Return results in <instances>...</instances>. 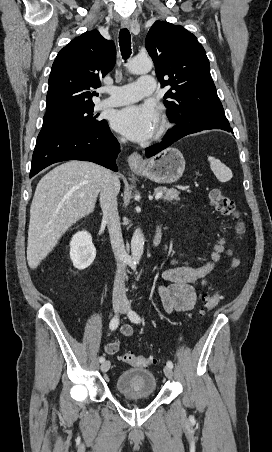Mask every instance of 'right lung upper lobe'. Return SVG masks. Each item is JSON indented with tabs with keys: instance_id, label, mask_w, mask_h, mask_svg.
Here are the masks:
<instances>
[{
	"instance_id": "1",
	"label": "right lung upper lobe",
	"mask_w": 272,
	"mask_h": 452,
	"mask_svg": "<svg viewBox=\"0 0 272 452\" xmlns=\"http://www.w3.org/2000/svg\"><path fill=\"white\" fill-rule=\"evenodd\" d=\"M116 49L99 31L85 32L58 53L51 69L46 114L94 104L93 88L101 86L114 66Z\"/></svg>"
}]
</instances>
